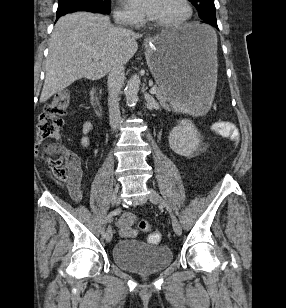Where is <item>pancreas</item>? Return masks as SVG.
Returning <instances> with one entry per match:
<instances>
[{
  "instance_id": "pancreas-1",
  "label": "pancreas",
  "mask_w": 286,
  "mask_h": 308,
  "mask_svg": "<svg viewBox=\"0 0 286 308\" xmlns=\"http://www.w3.org/2000/svg\"><path fill=\"white\" fill-rule=\"evenodd\" d=\"M158 89V88H157ZM156 98L160 101V103L166 108V109H170V107H175L177 106L179 103L176 101H169L165 95V92L163 90L158 89V92L156 93ZM166 101L169 102V104H166Z\"/></svg>"
}]
</instances>
